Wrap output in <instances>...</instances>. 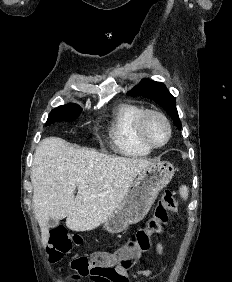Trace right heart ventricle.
Here are the masks:
<instances>
[{"instance_id": "right-heart-ventricle-1", "label": "right heart ventricle", "mask_w": 232, "mask_h": 282, "mask_svg": "<svg viewBox=\"0 0 232 282\" xmlns=\"http://www.w3.org/2000/svg\"><path fill=\"white\" fill-rule=\"evenodd\" d=\"M144 109L132 103H119L112 115L108 134L111 148L125 157H145L152 150L144 146L136 135V121Z\"/></svg>"}]
</instances>
